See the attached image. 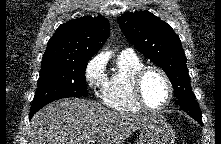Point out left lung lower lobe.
<instances>
[{
	"instance_id": "left-lung-lower-lobe-1",
	"label": "left lung lower lobe",
	"mask_w": 221,
	"mask_h": 144,
	"mask_svg": "<svg viewBox=\"0 0 221 144\" xmlns=\"http://www.w3.org/2000/svg\"><path fill=\"white\" fill-rule=\"evenodd\" d=\"M195 120H197L200 124H203L202 123V117H193Z\"/></svg>"
}]
</instances>
